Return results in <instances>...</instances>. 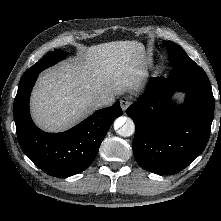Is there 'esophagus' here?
Listing matches in <instances>:
<instances>
[{"label": "esophagus", "mask_w": 221, "mask_h": 221, "mask_svg": "<svg viewBox=\"0 0 221 221\" xmlns=\"http://www.w3.org/2000/svg\"><path fill=\"white\" fill-rule=\"evenodd\" d=\"M132 104V100L128 97H122L120 99V105L123 111H126V109Z\"/></svg>", "instance_id": "esophagus-1"}]
</instances>
